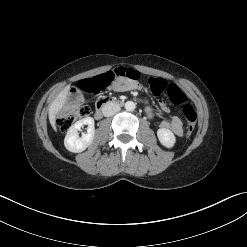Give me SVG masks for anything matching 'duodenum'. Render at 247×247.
I'll use <instances>...</instances> for the list:
<instances>
[{
	"mask_svg": "<svg viewBox=\"0 0 247 247\" xmlns=\"http://www.w3.org/2000/svg\"><path fill=\"white\" fill-rule=\"evenodd\" d=\"M122 105H123L122 100L111 98V97L102 98L96 104V110L94 113V117L96 119H101L105 109L111 106H122Z\"/></svg>",
	"mask_w": 247,
	"mask_h": 247,
	"instance_id": "1",
	"label": "duodenum"
}]
</instances>
